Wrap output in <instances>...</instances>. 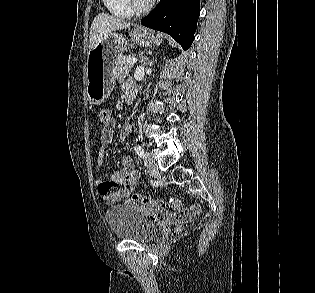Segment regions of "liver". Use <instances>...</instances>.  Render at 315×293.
<instances>
[{
	"label": "liver",
	"instance_id": "1",
	"mask_svg": "<svg viewBox=\"0 0 315 293\" xmlns=\"http://www.w3.org/2000/svg\"><path fill=\"white\" fill-rule=\"evenodd\" d=\"M130 23L109 15L99 13L93 20L90 28L89 47L92 49L100 40L107 39L113 31L127 29Z\"/></svg>",
	"mask_w": 315,
	"mask_h": 293
}]
</instances>
